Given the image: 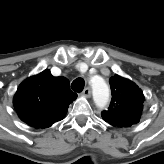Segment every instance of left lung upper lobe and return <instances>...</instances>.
I'll list each match as a JSON object with an SVG mask.
<instances>
[{
	"label": "left lung upper lobe",
	"instance_id": "obj_1",
	"mask_svg": "<svg viewBox=\"0 0 164 164\" xmlns=\"http://www.w3.org/2000/svg\"><path fill=\"white\" fill-rule=\"evenodd\" d=\"M112 100L108 110L101 113L113 126L130 127L139 122L143 110L144 95L132 81L119 75L110 79Z\"/></svg>",
	"mask_w": 164,
	"mask_h": 164
}]
</instances>
